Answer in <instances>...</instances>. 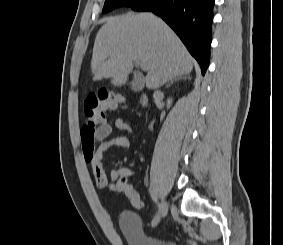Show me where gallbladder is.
Returning <instances> with one entry per match:
<instances>
[{
  "instance_id": "bac80fb5",
  "label": "gallbladder",
  "mask_w": 283,
  "mask_h": 245,
  "mask_svg": "<svg viewBox=\"0 0 283 245\" xmlns=\"http://www.w3.org/2000/svg\"><path fill=\"white\" fill-rule=\"evenodd\" d=\"M132 87H133V89H135V90H140V89L142 88V84H139V83H137L136 80H134V81L132 82Z\"/></svg>"
}]
</instances>
